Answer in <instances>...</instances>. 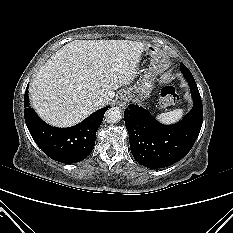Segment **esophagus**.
Masks as SVG:
<instances>
[{"instance_id":"obj_1","label":"esophagus","mask_w":233,"mask_h":233,"mask_svg":"<svg viewBox=\"0 0 233 233\" xmlns=\"http://www.w3.org/2000/svg\"><path fill=\"white\" fill-rule=\"evenodd\" d=\"M127 101H128V96L127 94H123L121 97H120V100L118 101V105L120 108H125L126 104H127Z\"/></svg>"}]
</instances>
